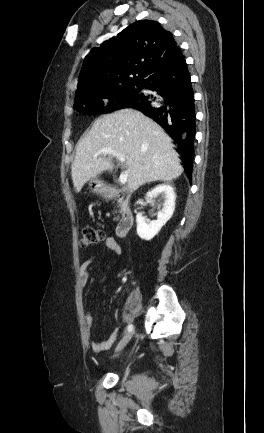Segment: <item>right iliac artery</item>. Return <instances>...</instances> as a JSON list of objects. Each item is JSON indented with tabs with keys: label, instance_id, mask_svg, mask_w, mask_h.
Here are the masks:
<instances>
[{
	"label": "right iliac artery",
	"instance_id": "1",
	"mask_svg": "<svg viewBox=\"0 0 264 433\" xmlns=\"http://www.w3.org/2000/svg\"><path fill=\"white\" fill-rule=\"evenodd\" d=\"M127 331H128L129 333H131V332L133 331V325H132V324H129V325L127 326Z\"/></svg>",
	"mask_w": 264,
	"mask_h": 433
}]
</instances>
